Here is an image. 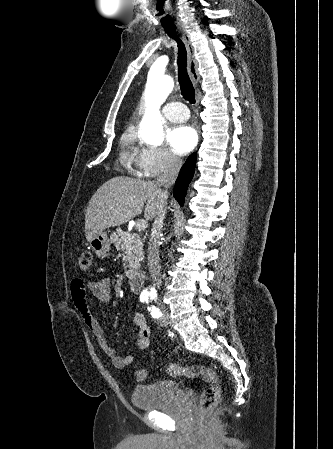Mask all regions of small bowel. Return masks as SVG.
Segmentation results:
<instances>
[{
  "mask_svg": "<svg viewBox=\"0 0 333 449\" xmlns=\"http://www.w3.org/2000/svg\"><path fill=\"white\" fill-rule=\"evenodd\" d=\"M70 291L74 307L79 312L84 325L96 337L100 349L111 359L112 364L118 369H123L130 365L133 361V356H120L117 354L115 348L106 339L104 330L91 311L87 299V292L89 291L99 302H108L111 297L110 280L102 278L97 281H88L78 277L73 280ZM133 322L136 329L129 328V331L132 333L137 347L140 350L148 349L150 346V330L144 315L140 313L133 314Z\"/></svg>",
  "mask_w": 333,
  "mask_h": 449,
  "instance_id": "obj_1",
  "label": "small bowel"
}]
</instances>
